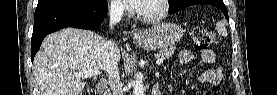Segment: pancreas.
Instances as JSON below:
<instances>
[{"label":"pancreas","instance_id":"1","mask_svg":"<svg viewBox=\"0 0 277 95\" xmlns=\"http://www.w3.org/2000/svg\"><path fill=\"white\" fill-rule=\"evenodd\" d=\"M175 50H176L175 47H169V48L167 47V48L160 50L157 53V55L159 58L166 59V58L171 57L174 54Z\"/></svg>","mask_w":277,"mask_h":95}]
</instances>
